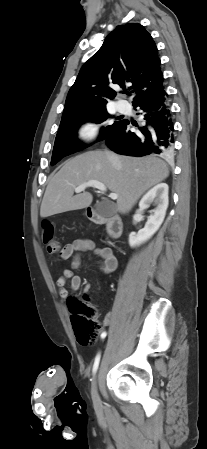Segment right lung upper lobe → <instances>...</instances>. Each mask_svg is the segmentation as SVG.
Instances as JSON below:
<instances>
[{
    "label": "right lung upper lobe",
    "instance_id": "obj_1",
    "mask_svg": "<svg viewBox=\"0 0 207 449\" xmlns=\"http://www.w3.org/2000/svg\"><path fill=\"white\" fill-rule=\"evenodd\" d=\"M113 84L124 90L130 84L133 102L163 90L157 47L139 23L117 26L82 66L67 95L62 119L106 109L116 95Z\"/></svg>",
    "mask_w": 207,
    "mask_h": 449
}]
</instances>
